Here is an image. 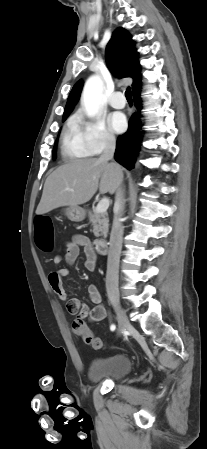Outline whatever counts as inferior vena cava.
I'll use <instances>...</instances> for the list:
<instances>
[{"instance_id": "1", "label": "inferior vena cava", "mask_w": 207, "mask_h": 449, "mask_svg": "<svg viewBox=\"0 0 207 449\" xmlns=\"http://www.w3.org/2000/svg\"><path fill=\"white\" fill-rule=\"evenodd\" d=\"M115 152V138L108 136L105 142V148L100 156V160L109 161L113 159ZM122 181V175L120 176V182L116 192V212L114 214L112 230L110 234V247L107 260V273H106V291L109 296H118V272L119 261L122 249L123 230L122 215L124 212L123 190L120 187Z\"/></svg>"}]
</instances>
